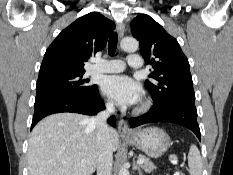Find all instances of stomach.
<instances>
[{
    "label": "stomach",
    "instance_id": "obj_1",
    "mask_svg": "<svg viewBox=\"0 0 233 175\" xmlns=\"http://www.w3.org/2000/svg\"><path fill=\"white\" fill-rule=\"evenodd\" d=\"M123 137L151 158L161 157L171 144L168 134L158 127H147Z\"/></svg>",
    "mask_w": 233,
    "mask_h": 175
}]
</instances>
